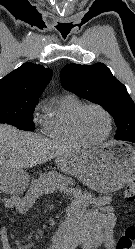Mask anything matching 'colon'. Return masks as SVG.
<instances>
[{"label":"colon","instance_id":"1","mask_svg":"<svg viewBox=\"0 0 135 249\" xmlns=\"http://www.w3.org/2000/svg\"><path fill=\"white\" fill-rule=\"evenodd\" d=\"M124 196L127 201L135 202V176L127 183ZM135 242V226H129L124 233L119 237L116 243V249H132Z\"/></svg>","mask_w":135,"mask_h":249}]
</instances>
